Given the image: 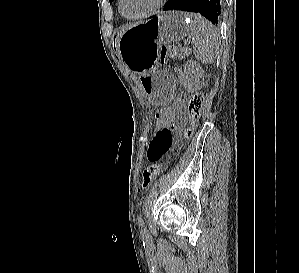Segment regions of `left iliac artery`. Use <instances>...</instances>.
Returning <instances> with one entry per match:
<instances>
[{"mask_svg": "<svg viewBox=\"0 0 299 273\" xmlns=\"http://www.w3.org/2000/svg\"><path fill=\"white\" fill-rule=\"evenodd\" d=\"M138 223H139V228H140L141 233L146 234V226L144 224V221H143V218L141 215L138 218Z\"/></svg>", "mask_w": 299, "mask_h": 273, "instance_id": "obj_1", "label": "left iliac artery"}]
</instances>
